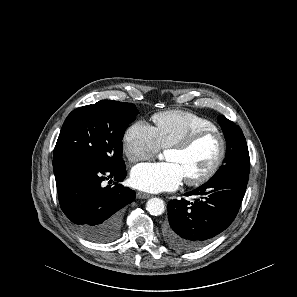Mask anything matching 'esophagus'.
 <instances>
[{
	"label": "esophagus",
	"mask_w": 297,
	"mask_h": 297,
	"mask_svg": "<svg viewBox=\"0 0 297 297\" xmlns=\"http://www.w3.org/2000/svg\"><path fill=\"white\" fill-rule=\"evenodd\" d=\"M151 195L148 194V193H144V192H137V198L139 199H147V198H150Z\"/></svg>",
	"instance_id": "1"
}]
</instances>
